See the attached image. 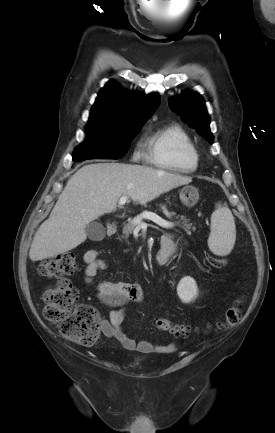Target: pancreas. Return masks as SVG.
<instances>
[{
    "label": "pancreas",
    "instance_id": "cf45deb5",
    "mask_svg": "<svg viewBox=\"0 0 275 433\" xmlns=\"http://www.w3.org/2000/svg\"><path fill=\"white\" fill-rule=\"evenodd\" d=\"M147 213V211H143L140 215L136 216L131 222H129L128 224L124 225L123 227V238H128V236L134 231L136 224L135 221L140 218L143 214ZM170 215H175V213H171ZM178 219V217H177ZM178 226L185 230L188 234L191 233L192 231H195L196 228L194 226H192L191 223L188 222V220L185 217H181L180 221L177 222Z\"/></svg>",
    "mask_w": 275,
    "mask_h": 433
}]
</instances>
